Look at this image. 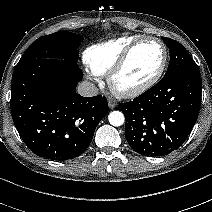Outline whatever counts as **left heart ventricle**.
<instances>
[{
  "instance_id": "left-heart-ventricle-1",
  "label": "left heart ventricle",
  "mask_w": 212,
  "mask_h": 212,
  "mask_svg": "<svg viewBox=\"0 0 212 212\" xmlns=\"http://www.w3.org/2000/svg\"><path fill=\"white\" fill-rule=\"evenodd\" d=\"M163 50L155 42H146L136 48L118 78L121 87L137 86L152 77L161 65Z\"/></svg>"
}]
</instances>
